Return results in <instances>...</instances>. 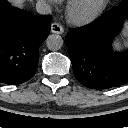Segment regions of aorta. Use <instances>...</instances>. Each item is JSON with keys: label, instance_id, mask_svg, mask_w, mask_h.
<instances>
[{"label": "aorta", "instance_id": "762f6f07", "mask_svg": "<svg viewBox=\"0 0 128 128\" xmlns=\"http://www.w3.org/2000/svg\"><path fill=\"white\" fill-rule=\"evenodd\" d=\"M47 48L51 51H57L63 46V39L60 35L51 34L46 39Z\"/></svg>", "mask_w": 128, "mask_h": 128}]
</instances>
